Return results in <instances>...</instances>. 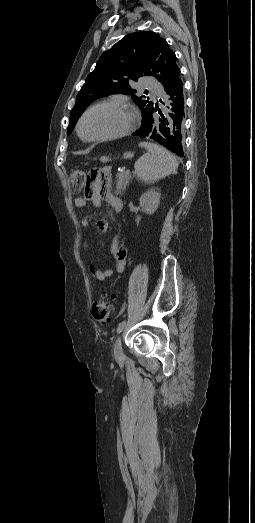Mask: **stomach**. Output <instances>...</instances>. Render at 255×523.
Instances as JSON below:
<instances>
[{
    "label": "stomach",
    "mask_w": 255,
    "mask_h": 523,
    "mask_svg": "<svg viewBox=\"0 0 255 523\" xmlns=\"http://www.w3.org/2000/svg\"><path fill=\"white\" fill-rule=\"evenodd\" d=\"M111 158V155L108 152H103L101 154V159L103 161H108ZM125 158H129V154H126Z\"/></svg>",
    "instance_id": "1"
}]
</instances>
